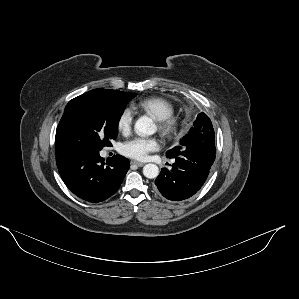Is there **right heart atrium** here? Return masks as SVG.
Masks as SVG:
<instances>
[{"label": "right heart atrium", "instance_id": "right-heart-atrium-1", "mask_svg": "<svg viewBox=\"0 0 299 299\" xmlns=\"http://www.w3.org/2000/svg\"><path fill=\"white\" fill-rule=\"evenodd\" d=\"M134 112L130 107H125L118 115L116 121V128L121 134H128L133 125Z\"/></svg>", "mask_w": 299, "mask_h": 299}]
</instances>
